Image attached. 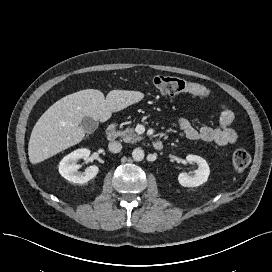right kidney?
<instances>
[{
    "instance_id": "obj_1",
    "label": "right kidney",
    "mask_w": 272,
    "mask_h": 272,
    "mask_svg": "<svg viewBox=\"0 0 272 272\" xmlns=\"http://www.w3.org/2000/svg\"><path fill=\"white\" fill-rule=\"evenodd\" d=\"M89 156L90 150L86 148L71 152L59 163V173L70 182L78 184L87 183L98 174L99 168L96 165H91L84 172H79L77 161L79 159H87Z\"/></svg>"
}]
</instances>
